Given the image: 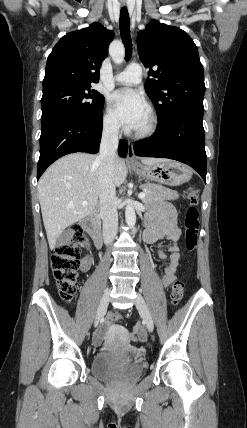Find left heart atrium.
<instances>
[{
  "instance_id": "left-heart-atrium-1",
  "label": "left heart atrium",
  "mask_w": 247,
  "mask_h": 428,
  "mask_svg": "<svg viewBox=\"0 0 247 428\" xmlns=\"http://www.w3.org/2000/svg\"><path fill=\"white\" fill-rule=\"evenodd\" d=\"M115 113L127 128L136 130L148 115V105L137 92L122 89L112 97Z\"/></svg>"
}]
</instances>
